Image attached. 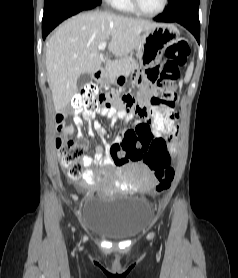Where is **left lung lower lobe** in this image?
<instances>
[{
    "label": "left lung lower lobe",
    "mask_w": 238,
    "mask_h": 278,
    "mask_svg": "<svg viewBox=\"0 0 238 278\" xmlns=\"http://www.w3.org/2000/svg\"><path fill=\"white\" fill-rule=\"evenodd\" d=\"M199 1L169 0L166 12L159 14L154 20L156 22H177L187 28L200 43Z\"/></svg>",
    "instance_id": "0a47b994"
}]
</instances>
